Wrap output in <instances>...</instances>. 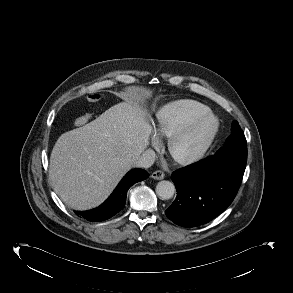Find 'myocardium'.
<instances>
[{"label": "myocardium", "instance_id": "1", "mask_svg": "<svg viewBox=\"0 0 293 293\" xmlns=\"http://www.w3.org/2000/svg\"><path fill=\"white\" fill-rule=\"evenodd\" d=\"M201 125L207 126V132L199 145V147L190 155L188 156H179L177 155L175 148L176 145L187 135H189L192 131L198 128ZM219 130V121L217 117L210 113L201 114L191 121H189L186 125H184L181 129L175 132L171 137H169L167 148L170 155L173 159L182 165H190L197 161H199L205 153L210 148L211 144L213 143L217 133Z\"/></svg>", "mask_w": 293, "mask_h": 293}]
</instances>
